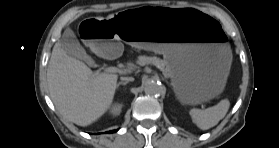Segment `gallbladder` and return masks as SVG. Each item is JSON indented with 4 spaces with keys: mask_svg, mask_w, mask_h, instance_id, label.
I'll list each match as a JSON object with an SVG mask.
<instances>
[{
    "mask_svg": "<svg viewBox=\"0 0 279 148\" xmlns=\"http://www.w3.org/2000/svg\"><path fill=\"white\" fill-rule=\"evenodd\" d=\"M58 43L69 56L84 61L89 60V56L86 54L84 48L80 45L75 33L71 29L67 28L64 31Z\"/></svg>",
    "mask_w": 279,
    "mask_h": 148,
    "instance_id": "1",
    "label": "gallbladder"
}]
</instances>
